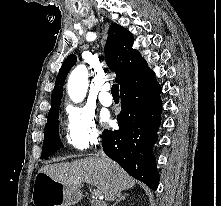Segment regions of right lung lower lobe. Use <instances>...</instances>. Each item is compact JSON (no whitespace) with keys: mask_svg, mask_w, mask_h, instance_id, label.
I'll return each mask as SVG.
<instances>
[{"mask_svg":"<svg viewBox=\"0 0 221 206\" xmlns=\"http://www.w3.org/2000/svg\"><path fill=\"white\" fill-rule=\"evenodd\" d=\"M161 90L148 67L131 78L120 88L119 130H104L102 134L107 156L152 190L159 184L153 145L161 122Z\"/></svg>","mask_w":221,"mask_h":206,"instance_id":"right-lung-lower-lobe-1","label":"right lung lower lobe"}]
</instances>
